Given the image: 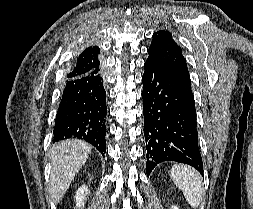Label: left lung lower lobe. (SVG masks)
<instances>
[{
  "label": "left lung lower lobe",
  "mask_w": 253,
  "mask_h": 209,
  "mask_svg": "<svg viewBox=\"0 0 253 209\" xmlns=\"http://www.w3.org/2000/svg\"><path fill=\"white\" fill-rule=\"evenodd\" d=\"M144 69L142 97L147 176L164 161L188 164L203 175L195 108L168 70L150 61L145 62Z\"/></svg>",
  "instance_id": "1"
}]
</instances>
